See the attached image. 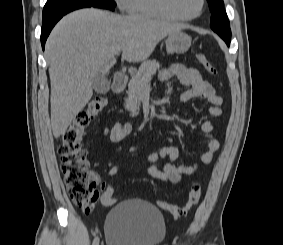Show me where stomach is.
I'll use <instances>...</instances> for the list:
<instances>
[{"mask_svg": "<svg viewBox=\"0 0 283 245\" xmlns=\"http://www.w3.org/2000/svg\"><path fill=\"white\" fill-rule=\"evenodd\" d=\"M168 54H182L188 51L191 46V38L183 31H177L168 35L166 41Z\"/></svg>", "mask_w": 283, "mask_h": 245, "instance_id": "obj_1", "label": "stomach"}]
</instances>
